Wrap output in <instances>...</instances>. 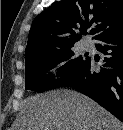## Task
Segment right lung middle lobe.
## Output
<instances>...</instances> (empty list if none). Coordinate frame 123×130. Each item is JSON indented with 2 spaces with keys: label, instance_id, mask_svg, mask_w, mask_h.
<instances>
[{
  "label": "right lung middle lobe",
  "instance_id": "dd1d6c3e",
  "mask_svg": "<svg viewBox=\"0 0 123 130\" xmlns=\"http://www.w3.org/2000/svg\"><path fill=\"white\" fill-rule=\"evenodd\" d=\"M72 47L31 56L25 59L26 90L38 93L62 86V84L78 72L86 63L87 58H73ZM65 62L62 66V77L55 80L51 73L47 72L57 64Z\"/></svg>",
  "mask_w": 123,
  "mask_h": 130
}]
</instances>
